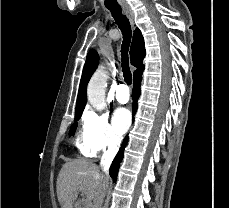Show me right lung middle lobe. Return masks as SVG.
Here are the masks:
<instances>
[{"mask_svg": "<svg viewBox=\"0 0 229 208\" xmlns=\"http://www.w3.org/2000/svg\"><path fill=\"white\" fill-rule=\"evenodd\" d=\"M74 121H78V119L77 120H74ZM77 122L76 123H74L72 126H71V128H70V132H69V135L71 136V135H74V133H75V131H76V128H77Z\"/></svg>", "mask_w": 229, "mask_h": 208, "instance_id": "obj_1", "label": "right lung middle lobe"}]
</instances>
